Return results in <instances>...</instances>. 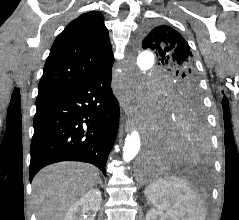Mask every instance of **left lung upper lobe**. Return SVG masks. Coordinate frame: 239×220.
<instances>
[{
	"instance_id": "obj_1",
	"label": "left lung upper lobe",
	"mask_w": 239,
	"mask_h": 220,
	"mask_svg": "<svg viewBox=\"0 0 239 220\" xmlns=\"http://www.w3.org/2000/svg\"><path fill=\"white\" fill-rule=\"evenodd\" d=\"M142 47L156 52L159 61L175 75L163 97V109H198L203 112L202 94L192 52L186 40L167 25L146 26Z\"/></svg>"
}]
</instances>
